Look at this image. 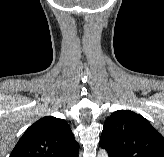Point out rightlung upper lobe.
Masks as SVG:
<instances>
[{
    "mask_svg": "<svg viewBox=\"0 0 164 157\" xmlns=\"http://www.w3.org/2000/svg\"><path fill=\"white\" fill-rule=\"evenodd\" d=\"M75 149L79 145L67 122L46 116L25 131L10 157H65Z\"/></svg>",
    "mask_w": 164,
    "mask_h": 157,
    "instance_id": "1",
    "label": "right lung upper lobe"
}]
</instances>
